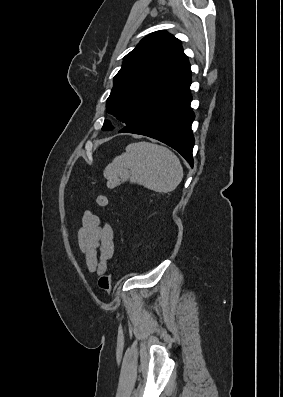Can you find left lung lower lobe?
Returning a JSON list of instances; mask_svg holds the SVG:
<instances>
[{
	"label": "left lung lower lobe",
	"mask_w": 283,
	"mask_h": 397,
	"mask_svg": "<svg viewBox=\"0 0 283 397\" xmlns=\"http://www.w3.org/2000/svg\"><path fill=\"white\" fill-rule=\"evenodd\" d=\"M191 81L152 105L119 132L145 135L178 151L193 167L194 136L191 130L195 114L190 107Z\"/></svg>",
	"instance_id": "left-lung-lower-lobe-1"
}]
</instances>
